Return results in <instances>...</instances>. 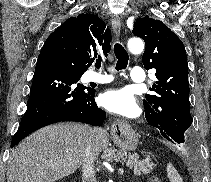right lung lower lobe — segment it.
I'll list each match as a JSON object with an SVG mask.
<instances>
[{"mask_svg":"<svg viewBox=\"0 0 211 182\" xmlns=\"http://www.w3.org/2000/svg\"><path fill=\"white\" fill-rule=\"evenodd\" d=\"M87 69L76 38L65 26H60L47 38L39 54L27 111L11 147L53 123L77 121L94 126L103 123L106 113L94 101L95 90L77 83Z\"/></svg>","mask_w":211,"mask_h":182,"instance_id":"1","label":"right lung lower lobe"}]
</instances>
